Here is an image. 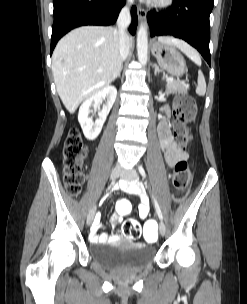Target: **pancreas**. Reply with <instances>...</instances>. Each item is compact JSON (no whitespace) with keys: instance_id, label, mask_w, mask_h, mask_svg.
<instances>
[{"instance_id":"1","label":"pancreas","mask_w":247,"mask_h":304,"mask_svg":"<svg viewBox=\"0 0 247 304\" xmlns=\"http://www.w3.org/2000/svg\"><path fill=\"white\" fill-rule=\"evenodd\" d=\"M189 87L182 81H168L166 86L167 93L181 92L187 93Z\"/></svg>"}]
</instances>
